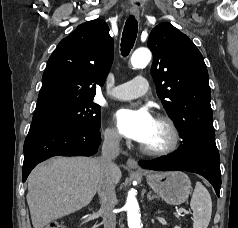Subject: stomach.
<instances>
[{"label":"stomach","mask_w":238,"mask_h":228,"mask_svg":"<svg viewBox=\"0 0 238 228\" xmlns=\"http://www.w3.org/2000/svg\"><path fill=\"white\" fill-rule=\"evenodd\" d=\"M146 181L162 199L171 205L184 203L191 194L190 179L180 171L148 173Z\"/></svg>","instance_id":"0dacf381"}]
</instances>
